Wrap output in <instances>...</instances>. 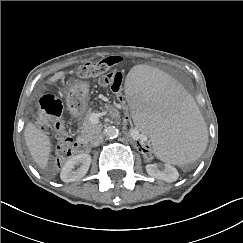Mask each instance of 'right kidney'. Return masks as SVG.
Segmentation results:
<instances>
[{"instance_id": "right-kidney-1", "label": "right kidney", "mask_w": 243, "mask_h": 243, "mask_svg": "<svg viewBox=\"0 0 243 243\" xmlns=\"http://www.w3.org/2000/svg\"><path fill=\"white\" fill-rule=\"evenodd\" d=\"M91 163V156L87 153L75 155L66 161L61 170V180L64 182H73L81 179L88 172ZM79 167L75 169V166Z\"/></svg>"}]
</instances>
